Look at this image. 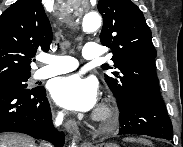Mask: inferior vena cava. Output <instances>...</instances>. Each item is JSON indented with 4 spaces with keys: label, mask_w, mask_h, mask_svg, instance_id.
I'll list each match as a JSON object with an SVG mask.
<instances>
[{
    "label": "inferior vena cava",
    "mask_w": 183,
    "mask_h": 147,
    "mask_svg": "<svg viewBox=\"0 0 183 147\" xmlns=\"http://www.w3.org/2000/svg\"><path fill=\"white\" fill-rule=\"evenodd\" d=\"M62 120H63V113L60 112V113L58 114V117H57L56 121H55V125H56V126L60 125V124L62 123ZM43 146H45V145H43Z\"/></svg>",
    "instance_id": "602c4592"
}]
</instances>
